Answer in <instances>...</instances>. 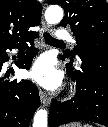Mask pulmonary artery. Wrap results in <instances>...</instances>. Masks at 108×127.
Segmentation results:
<instances>
[{
    "label": "pulmonary artery",
    "mask_w": 108,
    "mask_h": 127,
    "mask_svg": "<svg viewBox=\"0 0 108 127\" xmlns=\"http://www.w3.org/2000/svg\"><path fill=\"white\" fill-rule=\"evenodd\" d=\"M57 37L58 39L60 40H67L71 43H74L75 40L73 39V37L65 30H59L58 33H57Z\"/></svg>",
    "instance_id": "obj_1"
}]
</instances>
